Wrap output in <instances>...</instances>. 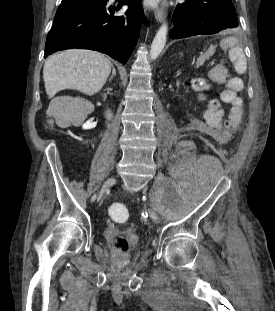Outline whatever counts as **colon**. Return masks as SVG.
Returning <instances> with one entry per match:
<instances>
[{
    "label": "colon",
    "mask_w": 275,
    "mask_h": 311,
    "mask_svg": "<svg viewBox=\"0 0 275 311\" xmlns=\"http://www.w3.org/2000/svg\"><path fill=\"white\" fill-rule=\"evenodd\" d=\"M236 58V62H234L236 68L239 71H243L245 68L244 57ZM225 73H227V71H225ZM242 85L243 83L240 78H232L222 91L221 100L225 103H231L233 100H235L237 92L241 90ZM48 116L63 126L73 123L79 124L82 121L80 117H77L72 113V110L68 106L67 102H58L52 104L48 109ZM109 213L115 219H127L129 215L127 209L121 204L110 205ZM115 247L120 252L126 253L129 250V243L124 237L120 236L115 241Z\"/></svg>",
    "instance_id": "obj_1"
}]
</instances>
